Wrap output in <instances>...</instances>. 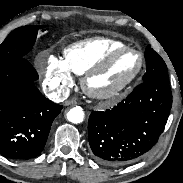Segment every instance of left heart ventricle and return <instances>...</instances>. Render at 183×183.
<instances>
[{"label":"left heart ventricle","instance_id":"b2bd125f","mask_svg":"<svg viewBox=\"0 0 183 183\" xmlns=\"http://www.w3.org/2000/svg\"><path fill=\"white\" fill-rule=\"evenodd\" d=\"M139 64L140 58L136 53H122L106 71L92 79L91 86L98 91H108L117 88L135 74Z\"/></svg>","mask_w":183,"mask_h":183}]
</instances>
